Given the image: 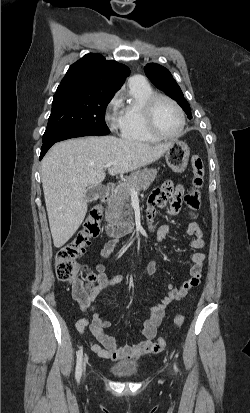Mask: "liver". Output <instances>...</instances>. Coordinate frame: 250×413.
<instances>
[{
  "mask_svg": "<svg viewBox=\"0 0 250 413\" xmlns=\"http://www.w3.org/2000/svg\"><path fill=\"white\" fill-rule=\"evenodd\" d=\"M171 143L150 145L115 136H89L55 144L42 160L41 179L53 244L60 248L87 213L86 187L110 175L131 172L158 160Z\"/></svg>",
  "mask_w": 250,
  "mask_h": 413,
  "instance_id": "6515ba94",
  "label": "liver"
}]
</instances>
